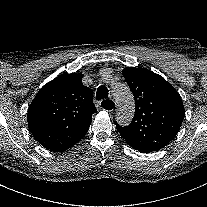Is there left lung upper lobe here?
I'll return each mask as SVG.
<instances>
[{"label":"left lung upper lobe","mask_w":207,"mask_h":207,"mask_svg":"<svg viewBox=\"0 0 207 207\" xmlns=\"http://www.w3.org/2000/svg\"><path fill=\"white\" fill-rule=\"evenodd\" d=\"M135 100L129 126L116 128L126 142L143 153L157 151L178 133L185 116L180 94L162 76L146 68L123 71Z\"/></svg>","instance_id":"obj_1"}]
</instances>
